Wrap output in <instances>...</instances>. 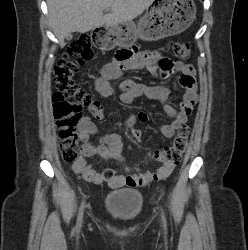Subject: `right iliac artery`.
Instances as JSON below:
<instances>
[{
	"mask_svg": "<svg viewBox=\"0 0 248 250\" xmlns=\"http://www.w3.org/2000/svg\"><path fill=\"white\" fill-rule=\"evenodd\" d=\"M84 208H85V202L83 201L81 203V206L79 208V213H78V219H77V224H76V230H79L81 225H82V218H83V211H84Z\"/></svg>",
	"mask_w": 248,
	"mask_h": 250,
	"instance_id": "obj_1",
	"label": "right iliac artery"
}]
</instances>
